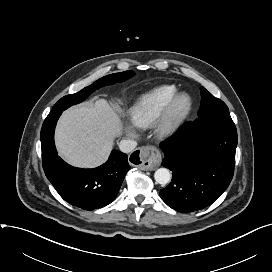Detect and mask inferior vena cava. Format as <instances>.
I'll return each mask as SVG.
<instances>
[{"instance_id": "1", "label": "inferior vena cava", "mask_w": 272, "mask_h": 272, "mask_svg": "<svg viewBox=\"0 0 272 272\" xmlns=\"http://www.w3.org/2000/svg\"><path fill=\"white\" fill-rule=\"evenodd\" d=\"M137 146V142L131 139H123L119 143V148L124 153H130Z\"/></svg>"}]
</instances>
